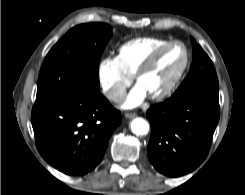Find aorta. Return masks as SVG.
<instances>
[{
	"instance_id": "aorta-1",
	"label": "aorta",
	"mask_w": 245,
	"mask_h": 195,
	"mask_svg": "<svg viewBox=\"0 0 245 195\" xmlns=\"http://www.w3.org/2000/svg\"><path fill=\"white\" fill-rule=\"evenodd\" d=\"M131 131L136 135H146L149 131L148 122L140 117H137L131 122Z\"/></svg>"
}]
</instances>
